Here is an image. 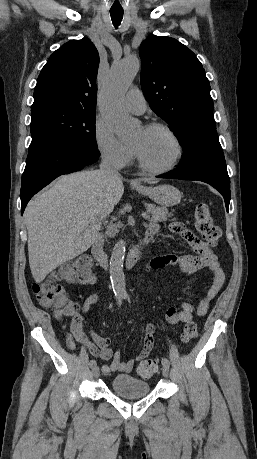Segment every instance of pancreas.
I'll return each mask as SVG.
<instances>
[{"instance_id": "obj_1", "label": "pancreas", "mask_w": 257, "mask_h": 459, "mask_svg": "<svg viewBox=\"0 0 257 459\" xmlns=\"http://www.w3.org/2000/svg\"><path fill=\"white\" fill-rule=\"evenodd\" d=\"M145 207L147 212L152 215V221L154 222L166 221L168 217L173 215L172 213H168L165 207H158L154 204H145ZM120 227H122L120 223L110 225L107 229V236L114 237Z\"/></svg>"}]
</instances>
